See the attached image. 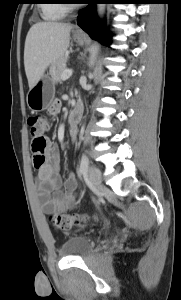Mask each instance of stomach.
I'll return each instance as SVG.
<instances>
[{
	"instance_id": "1",
	"label": "stomach",
	"mask_w": 181,
	"mask_h": 300,
	"mask_svg": "<svg viewBox=\"0 0 181 300\" xmlns=\"http://www.w3.org/2000/svg\"><path fill=\"white\" fill-rule=\"evenodd\" d=\"M74 40L83 45L85 38L74 35ZM55 87L53 79L48 75H43L36 85L27 94V104L32 111H42L47 109L54 99Z\"/></svg>"
}]
</instances>
